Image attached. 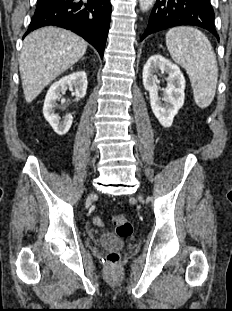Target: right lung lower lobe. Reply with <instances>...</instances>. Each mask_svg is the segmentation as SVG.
I'll return each mask as SVG.
<instances>
[{"label": "right lung lower lobe", "instance_id": "98d812e1", "mask_svg": "<svg viewBox=\"0 0 232 311\" xmlns=\"http://www.w3.org/2000/svg\"><path fill=\"white\" fill-rule=\"evenodd\" d=\"M111 10L110 0H37L24 37L43 26H59L82 36L103 57Z\"/></svg>", "mask_w": 232, "mask_h": 311}]
</instances>
